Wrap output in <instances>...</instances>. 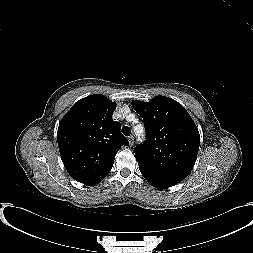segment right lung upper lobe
I'll return each mask as SVG.
<instances>
[{
    "mask_svg": "<svg viewBox=\"0 0 253 253\" xmlns=\"http://www.w3.org/2000/svg\"><path fill=\"white\" fill-rule=\"evenodd\" d=\"M116 103L101 94L76 102L62 118L57 140L62 162L78 182L95 185L112 169L115 155L128 140L113 121Z\"/></svg>",
    "mask_w": 253,
    "mask_h": 253,
    "instance_id": "1",
    "label": "right lung upper lobe"
}]
</instances>
